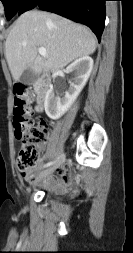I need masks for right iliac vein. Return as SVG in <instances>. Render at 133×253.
Returning a JSON list of instances; mask_svg holds the SVG:
<instances>
[{"instance_id":"right-iliac-vein-1","label":"right iliac vein","mask_w":133,"mask_h":253,"mask_svg":"<svg viewBox=\"0 0 133 253\" xmlns=\"http://www.w3.org/2000/svg\"><path fill=\"white\" fill-rule=\"evenodd\" d=\"M65 161V154L61 153L60 156L57 158L56 162L54 163V165L50 168H48L47 170H45L42 174L41 177L46 176L50 173H52L53 171H55L58 167H60ZM31 191V188L27 189V192L29 193Z\"/></svg>"}]
</instances>
